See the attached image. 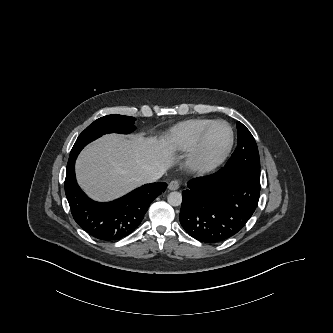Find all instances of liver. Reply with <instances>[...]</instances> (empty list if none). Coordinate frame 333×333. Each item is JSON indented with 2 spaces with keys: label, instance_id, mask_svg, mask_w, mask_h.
<instances>
[{
  "label": "liver",
  "instance_id": "liver-1",
  "mask_svg": "<svg viewBox=\"0 0 333 333\" xmlns=\"http://www.w3.org/2000/svg\"><path fill=\"white\" fill-rule=\"evenodd\" d=\"M174 144L168 139L103 136L88 145L76 161L77 180L93 199L108 201L136 188L150 171L165 172L173 163Z\"/></svg>",
  "mask_w": 333,
  "mask_h": 333
}]
</instances>
